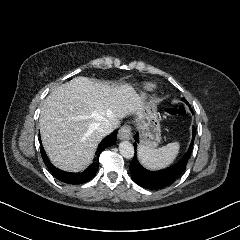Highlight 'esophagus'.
<instances>
[{"label":"esophagus","instance_id":"esophagus-1","mask_svg":"<svg viewBox=\"0 0 240 240\" xmlns=\"http://www.w3.org/2000/svg\"><path fill=\"white\" fill-rule=\"evenodd\" d=\"M118 137L122 140H129L132 137V127L129 124L123 125L118 131Z\"/></svg>","mask_w":240,"mask_h":240}]
</instances>
